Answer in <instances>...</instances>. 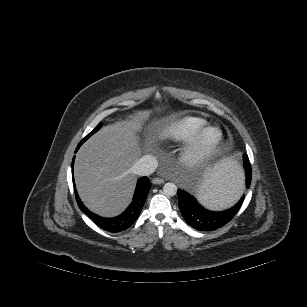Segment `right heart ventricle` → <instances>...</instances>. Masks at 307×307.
Listing matches in <instances>:
<instances>
[{"mask_svg": "<svg viewBox=\"0 0 307 307\" xmlns=\"http://www.w3.org/2000/svg\"><path fill=\"white\" fill-rule=\"evenodd\" d=\"M207 125V121L199 117H183L166 125L159 133L161 138L187 140Z\"/></svg>", "mask_w": 307, "mask_h": 307, "instance_id": "obj_1", "label": "right heart ventricle"}]
</instances>
